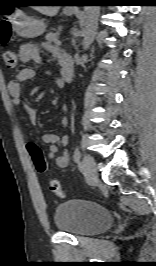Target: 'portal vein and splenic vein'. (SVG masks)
<instances>
[{
	"mask_svg": "<svg viewBox=\"0 0 156 266\" xmlns=\"http://www.w3.org/2000/svg\"><path fill=\"white\" fill-rule=\"evenodd\" d=\"M56 45H57V46H61V42H60V41H57V42H56Z\"/></svg>",
	"mask_w": 156,
	"mask_h": 266,
	"instance_id": "18ae733b",
	"label": "portal vein and splenic vein"
}]
</instances>
